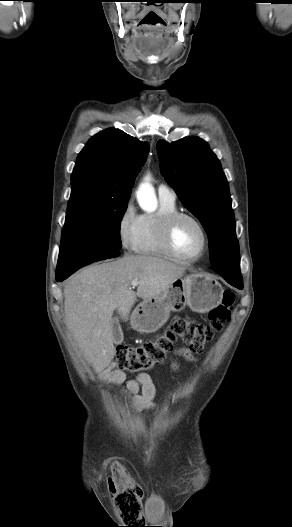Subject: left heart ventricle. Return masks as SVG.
Instances as JSON below:
<instances>
[{"label": "left heart ventricle", "mask_w": 292, "mask_h": 527, "mask_svg": "<svg viewBox=\"0 0 292 527\" xmlns=\"http://www.w3.org/2000/svg\"><path fill=\"white\" fill-rule=\"evenodd\" d=\"M173 244L185 258L196 257L202 249L203 238L198 226L188 219H181L173 230Z\"/></svg>", "instance_id": "left-heart-ventricle-1"}]
</instances>
